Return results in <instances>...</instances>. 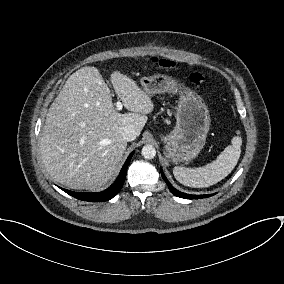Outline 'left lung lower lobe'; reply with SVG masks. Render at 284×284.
Returning <instances> with one entry per match:
<instances>
[{
  "mask_svg": "<svg viewBox=\"0 0 284 284\" xmlns=\"http://www.w3.org/2000/svg\"><path fill=\"white\" fill-rule=\"evenodd\" d=\"M162 177L164 179V181L166 182V184L169 187V190L177 197H181V198H185V199H200V198H206V197H210L214 194H209V195H190V194H186V193H182L178 190H176L171 184L170 182L167 180V178L165 177L163 171H161Z\"/></svg>",
  "mask_w": 284,
  "mask_h": 284,
  "instance_id": "1",
  "label": "left lung lower lobe"
}]
</instances>
